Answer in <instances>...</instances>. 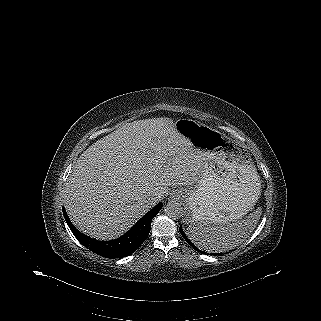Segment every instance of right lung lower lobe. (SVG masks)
I'll return each mask as SVG.
<instances>
[{
  "label": "right lung lower lobe",
  "mask_w": 321,
  "mask_h": 321,
  "mask_svg": "<svg viewBox=\"0 0 321 321\" xmlns=\"http://www.w3.org/2000/svg\"><path fill=\"white\" fill-rule=\"evenodd\" d=\"M163 204H157L146 213L127 233L111 241H98L80 233L70 222L63 207L64 218L76 239L92 252L105 258H122L135 252L149 235L151 221Z\"/></svg>",
  "instance_id": "obj_1"
}]
</instances>
